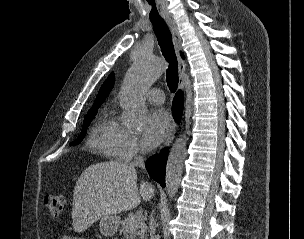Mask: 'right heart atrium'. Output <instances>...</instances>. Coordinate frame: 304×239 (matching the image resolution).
<instances>
[{
    "instance_id": "right-heart-atrium-1",
    "label": "right heart atrium",
    "mask_w": 304,
    "mask_h": 239,
    "mask_svg": "<svg viewBox=\"0 0 304 239\" xmlns=\"http://www.w3.org/2000/svg\"><path fill=\"white\" fill-rule=\"evenodd\" d=\"M113 150L119 159L128 161L142 154L144 146L135 133L120 127L113 142Z\"/></svg>"
}]
</instances>
